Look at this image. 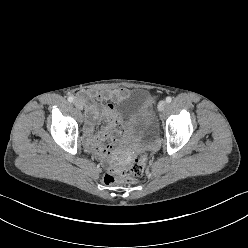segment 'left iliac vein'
<instances>
[{
  "instance_id": "1",
  "label": "left iliac vein",
  "mask_w": 248,
  "mask_h": 248,
  "mask_svg": "<svg viewBox=\"0 0 248 248\" xmlns=\"http://www.w3.org/2000/svg\"><path fill=\"white\" fill-rule=\"evenodd\" d=\"M167 106V102L165 100H161L159 103H158V110L161 112L163 111Z\"/></svg>"
}]
</instances>
